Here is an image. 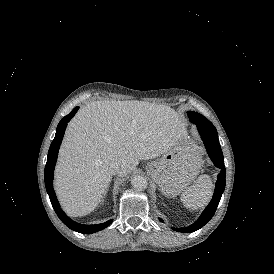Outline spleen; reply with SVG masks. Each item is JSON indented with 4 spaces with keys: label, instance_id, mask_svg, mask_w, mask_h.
I'll return each mask as SVG.
<instances>
[{
    "label": "spleen",
    "instance_id": "3e777b00",
    "mask_svg": "<svg viewBox=\"0 0 274 274\" xmlns=\"http://www.w3.org/2000/svg\"><path fill=\"white\" fill-rule=\"evenodd\" d=\"M212 192L213 184L211 179L206 175H202L189 188L183 191L181 199L187 208L196 209L208 203Z\"/></svg>",
    "mask_w": 274,
    "mask_h": 274
}]
</instances>
